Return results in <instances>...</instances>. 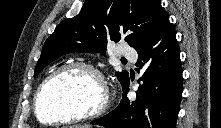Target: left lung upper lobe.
Segmentation results:
<instances>
[{
  "instance_id": "obj_1",
  "label": "left lung upper lobe",
  "mask_w": 221,
  "mask_h": 128,
  "mask_svg": "<svg viewBox=\"0 0 221 128\" xmlns=\"http://www.w3.org/2000/svg\"><path fill=\"white\" fill-rule=\"evenodd\" d=\"M168 15L161 0H86L80 13L63 20L46 40L34 76L58 57L70 52H100L109 41L125 40L137 49ZM122 87L128 72L118 73Z\"/></svg>"
}]
</instances>
